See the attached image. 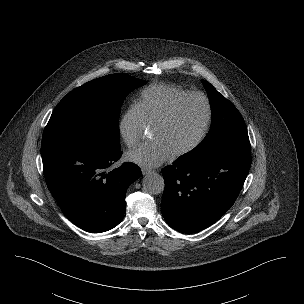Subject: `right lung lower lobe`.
Returning <instances> with one entry per match:
<instances>
[{"instance_id":"right-lung-lower-lobe-1","label":"right lung lower lobe","mask_w":304,"mask_h":304,"mask_svg":"<svg viewBox=\"0 0 304 304\" xmlns=\"http://www.w3.org/2000/svg\"><path fill=\"white\" fill-rule=\"evenodd\" d=\"M121 149L69 142L41 148L48 189L63 214L79 228L100 233L124 217L126 190L141 176L138 166L123 163L113 169Z\"/></svg>"}]
</instances>
